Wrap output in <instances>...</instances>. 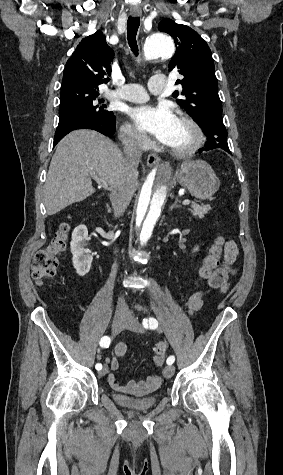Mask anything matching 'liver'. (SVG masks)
<instances>
[{"instance_id": "liver-1", "label": "liver", "mask_w": 283, "mask_h": 475, "mask_svg": "<svg viewBox=\"0 0 283 475\" xmlns=\"http://www.w3.org/2000/svg\"><path fill=\"white\" fill-rule=\"evenodd\" d=\"M125 168L124 156L112 140L94 130H75L59 142L49 166L44 200L47 216L92 196L91 176L114 186ZM138 176H133L134 192ZM109 188V190H111Z\"/></svg>"}]
</instances>
